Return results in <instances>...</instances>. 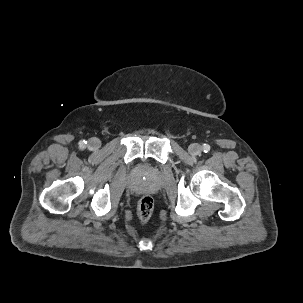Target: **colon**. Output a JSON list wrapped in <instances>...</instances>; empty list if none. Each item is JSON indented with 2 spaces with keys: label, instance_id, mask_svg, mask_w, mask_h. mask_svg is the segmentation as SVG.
Segmentation results:
<instances>
[{
  "label": "colon",
  "instance_id": "5ec220e1",
  "mask_svg": "<svg viewBox=\"0 0 303 303\" xmlns=\"http://www.w3.org/2000/svg\"><path fill=\"white\" fill-rule=\"evenodd\" d=\"M154 202L150 196H143L137 207V216L142 223H146L153 212Z\"/></svg>",
  "mask_w": 303,
  "mask_h": 303
}]
</instances>
